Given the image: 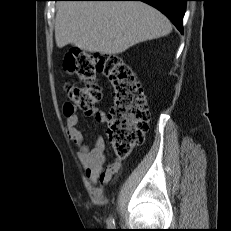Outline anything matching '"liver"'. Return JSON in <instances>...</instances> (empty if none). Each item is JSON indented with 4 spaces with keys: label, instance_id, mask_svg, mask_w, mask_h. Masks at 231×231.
<instances>
[{
    "label": "liver",
    "instance_id": "6515ba94",
    "mask_svg": "<svg viewBox=\"0 0 231 231\" xmlns=\"http://www.w3.org/2000/svg\"><path fill=\"white\" fill-rule=\"evenodd\" d=\"M171 31V22L143 2L60 1L57 4L55 40L59 48L72 44L91 53L116 55Z\"/></svg>",
    "mask_w": 231,
    "mask_h": 231
}]
</instances>
